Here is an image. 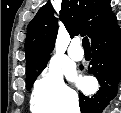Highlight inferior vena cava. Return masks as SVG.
Masks as SVG:
<instances>
[{"label": "inferior vena cava", "mask_w": 121, "mask_h": 113, "mask_svg": "<svg viewBox=\"0 0 121 113\" xmlns=\"http://www.w3.org/2000/svg\"><path fill=\"white\" fill-rule=\"evenodd\" d=\"M69 113H80L79 105L77 102L70 104Z\"/></svg>", "instance_id": "1"}]
</instances>
